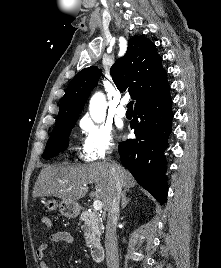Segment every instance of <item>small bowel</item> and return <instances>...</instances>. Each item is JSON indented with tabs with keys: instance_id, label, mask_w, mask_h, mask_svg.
Masks as SVG:
<instances>
[{
	"instance_id": "small-bowel-1",
	"label": "small bowel",
	"mask_w": 221,
	"mask_h": 268,
	"mask_svg": "<svg viewBox=\"0 0 221 268\" xmlns=\"http://www.w3.org/2000/svg\"><path fill=\"white\" fill-rule=\"evenodd\" d=\"M51 243H60L65 242L72 244L74 243V237L66 231L54 232L50 235ZM50 244L45 243L41 244L36 250V257L39 260L40 268H51L50 263L45 259V254L49 250Z\"/></svg>"
}]
</instances>
